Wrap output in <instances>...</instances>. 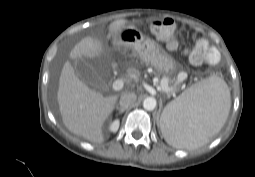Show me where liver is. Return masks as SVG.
I'll return each instance as SVG.
<instances>
[{
  "label": "liver",
  "instance_id": "6515ba94",
  "mask_svg": "<svg viewBox=\"0 0 255 177\" xmlns=\"http://www.w3.org/2000/svg\"><path fill=\"white\" fill-rule=\"evenodd\" d=\"M127 22H112L109 25V35L117 38ZM106 52L100 40L86 37L74 46L70 58H95ZM117 99V95L104 97L102 93L90 89L75 74L71 63L65 62L59 78L57 100L62 121L70 132L90 142H103L102 126L115 108Z\"/></svg>",
  "mask_w": 255,
  "mask_h": 177
}]
</instances>
